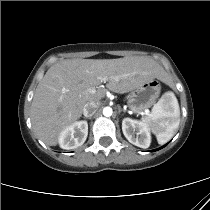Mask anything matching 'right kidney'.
<instances>
[{"instance_id": "obj_1", "label": "right kidney", "mask_w": 210, "mask_h": 210, "mask_svg": "<svg viewBox=\"0 0 210 210\" xmlns=\"http://www.w3.org/2000/svg\"><path fill=\"white\" fill-rule=\"evenodd\" d=\"M88 135L87 121H78L66 127L59 136V145L66 150L75 149L86 141Z\"/></svg>"}]
</instances>
